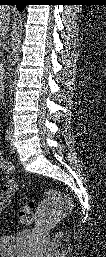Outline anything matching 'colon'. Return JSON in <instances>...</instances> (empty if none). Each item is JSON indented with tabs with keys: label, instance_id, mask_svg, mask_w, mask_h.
I'll list each match as a JSON object with an SVG mask.
<instances>
[{
	"label": "colon",
	"instance_id": "colon-1",
	"mask_svg": "<svg viewBox=\"0 0 106 257\" xmlns=\"http://www.w3.org/2000/svg\"><path fill=\"white\" fill-rule=\"evenodd\" d=\"M48 197L47 202L43 207H51L53 209H58L60 212L66 213L72 208V200L65 195L64 193L55 190L49 189L45 192ZM35 203L31 199H24L21 205V208L18 212V219L20 223L24 225H29L34 221ZM61 237L60 233H57L54 237V241H58Z\"/></svg>",
	"mask_w": 106,
	"mask_h": 257
}]
</instances>
